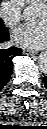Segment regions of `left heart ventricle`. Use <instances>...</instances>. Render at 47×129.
<instances>
[{
	"label": "left heart ventricle",
	"mask_w": 47,
	"mask_h": 129,
	"mask_svg": "<svg viewBox=\"0 0 47 129\" xmlns=\"http://www.w3.org/2000/svg\"><path fill=\"white\" fill-rule=\"evenodd\" d=\"M46 16H47V13H46V10L44 7H40V9L38 10V13L36 15V18L40 21H45L46 20Z\"/></svg>",
	"instance_id": "left-heart-ventricle-1"
}]
</instances>
